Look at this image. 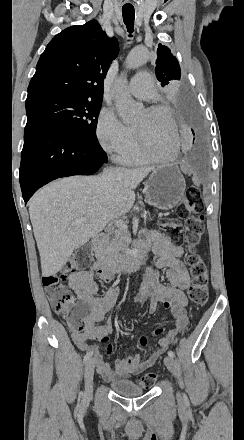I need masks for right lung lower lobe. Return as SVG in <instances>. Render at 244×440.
Masks as SVG:
<instances>
[{"instance_id":"1","label":"right lung lower lobe","mask_w":244,"mask_h":440,"mask_svg":"<svg viewBox=\"0 0 244 440\" xmlns=\"http://www.w3.org/2000/svg\"><path fill=\"white\" fill-rule=\"evenodd\" d=\"M107 162L98 141L46 124H27L19 181L25 203L43 185L72 175H91Z\"/></svg>"}]
</instances>
